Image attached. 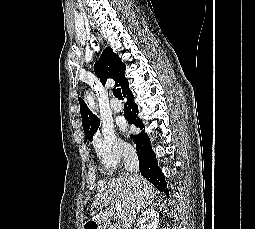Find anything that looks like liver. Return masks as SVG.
<instances>
[{
  "mask_svg": "<svg viewBox=\"0 0 255 229\" xmlns=\"http://www.w3.org/2000/svg\"><path fill=\"white\" fill-rule=\"evenodd\" d=\"M156 193L153 185L139 174L124 173L105 179L100 183L91 205V209L100 207V212L93 216L92 221L99 225L108 223L115 215L116 203H120L124 211L122 227L130 229L136 214L154 201Z\"/></svg>",
  "mask_w": 255,
  "mask_h": 229,
  "instance_id": "obj_1",
  "label": "liver"
}]
</instances>
